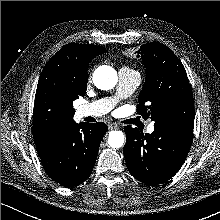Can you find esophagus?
Segmentation results:
<instances>
[{"mask_svg":"<svg viewBox=\"0 0 220 220\" xmlns=\"http://www.w3.org/2000/svg\"><path fill=\"white\" fill-rule=\"evenodd\" d=\"M108 128H109L110 130H112V129H117V128H118V125H117L116 123H109V124H108Z\"/></svg>","mask_w":220,"mask_h":220,"instance_id":"obj_1","label":"esophagus"}]
</instances>
